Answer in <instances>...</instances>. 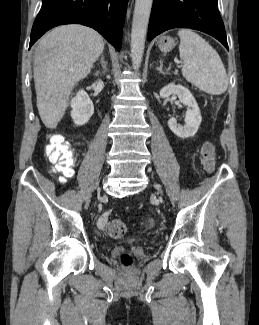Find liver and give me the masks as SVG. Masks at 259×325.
<instances>
[{
  "instance_id": "liver-1",
  "label": "liver",
  "mask_w": 259,
  "mask_h": 325,
  "mask_svg": "<svg viewBox=\"0 0 259 325\" xmlns=\"http://www.w3.org/2000/svg\"><path fill=\"white\" fill-rule=\"evenodd\" d=\"M104 45L98 32L78 24L56 27L41 38L34 56V83L38 112L47 128L57 127L71 91L89 74Z\"/></svg>"
}]
</instances>
